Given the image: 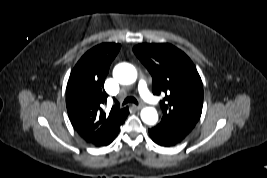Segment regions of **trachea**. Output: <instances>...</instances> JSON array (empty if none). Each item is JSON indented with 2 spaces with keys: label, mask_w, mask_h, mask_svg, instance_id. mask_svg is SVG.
Listing matches in <instances>:
<instances>
[{
  "label": "trachea",
  "mask_w": 267,
  "mask_h": 178,
  "mask_svg": "<svg viewBox=\"0 0 267 178\" xmlns=\"http://www.w3.org/2000/svg\"><path fill=\"white\" fill-rule=\"evenodd\" d=\"M127 103H134V104H138V101L136 98L132 97V96H129L127 97L124 102H123V105L127 104Z\"/></svg>",
  "instance_id": "trachea-1"
}]
</instances>
